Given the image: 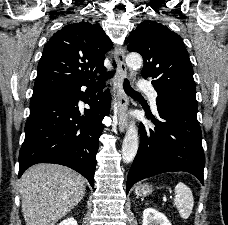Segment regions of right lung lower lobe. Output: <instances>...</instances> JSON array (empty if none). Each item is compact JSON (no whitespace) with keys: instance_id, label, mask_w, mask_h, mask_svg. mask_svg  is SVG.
Here are the masks:
<instances>
[{"instance_id":"98d812e1","label":"right lung lower lobe","mask_w":228,"mask_h":225,"mask_svg":"<svg viewBox=\"0 0 228 225\" xmlns=\"http://www.w3.org/2000/svg\"><path fill=\"white\" fill-rule=\"evenodd\" d=\"M96 80L76 87L34 96L30 116L25 125V140L19 154V175L36 163H55L74 169L94 186V172L102 120L108 114L111 94L108 90L93 96ZM88 86L92 99L81 115L80 99L87 100L80 90Z\"/></svg>"}]
</instances>
